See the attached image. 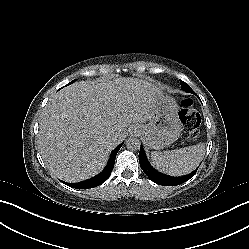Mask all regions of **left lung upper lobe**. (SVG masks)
<instances>
[{"label":"left lung upper lobe","instance_id":"obj_1","mask_svg":"<svg viewBox=\"0 0 249 249\" xmlns=\"http://www.w3.org/2000/svg\"><path fill=\"white\" fill-rule=\"evenodd\" d=\"M181 83V88L186 91V92H190V93H193L192 89L190 88V86L188 84H186L185 82L183 81H180ZM182 178H176L173 180V182H179V180H181Z\"/></svg>","mask_w":249,"mask_h":249}]
</instances>
